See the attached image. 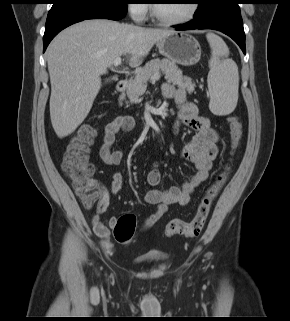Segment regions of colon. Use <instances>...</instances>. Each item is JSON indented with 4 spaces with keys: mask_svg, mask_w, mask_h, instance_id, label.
Returning <instances> with one entry per match:
<instances>
[{
    "mask_svg": "<svg viewBox=\"0 0 290 321\" xmlns=\"http://www.w3.org/2000/svg\"><path fill=\"white\" fill-rule=\"evenodd\" d=\"M230 153L234 155L240 146L243 136V126L237 116H229ZM95 131L91 124H82L75 132L63 156L62 169L70 179L72 186L81 198L85 207L91 208L99 199L97 187L93 183L94 167L89 162V150L93 143ZM230 172V165L215 177L199 200L196 213L190 221L181 219L171 220L165 229L168 237L176 235L194 237L204 229L211 205L225 184ZM136 230L134 214H125L117 219L113 233L117 242L129 243Z\"/></svg>",
    "mask_w": 290,
    "mask_h": 321,
    "instance_id": "5ec220e1",
    "label": "colon"
}]
</instances>
